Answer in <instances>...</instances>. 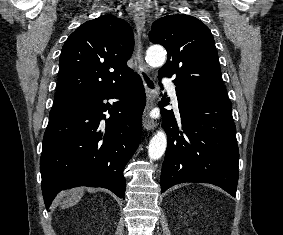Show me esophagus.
I'll list each match as a JSON object with an SVG mask.
<instances>
[{
	"label": "esophagus",
	"mask_w": 283,
	"mask_h": 235,
	"mask_svg": "<svg viewBox=\"0 0 283 235\" xmlns=\"http://www.w3.org/2000/svg\"><path fill=\"white\" fill-rule=\"evenodd\" d=\"M145 18H146V15H145L144 10H141V9L135 10L134 21H135V25H136L137 33H138L139 63H140L141 69L147 72L148 66L144 61L143 42H142V33L144 30V26H145ZM145 89H146L147 102H146V107H145L144 115H143V127L146 130H152L156 127V122L150 117L149 114L155 105L156 92L148 88L147 85H145Z\"/></svg>",
	"instance_id": "1"
}]
</instances>
